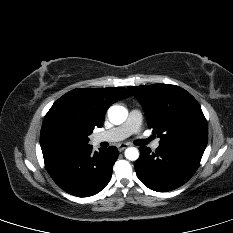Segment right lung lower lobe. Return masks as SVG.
I'll return each mask as SVG.
<instances>
[{
	"label": "right lung lower lobe",
	"instance_id": "1",
	"mask_svg": "<svg viewBox=\"0 0 233 233\" xmlns=\"http://www.w3.org/2000/svg\"><path fill=\"white\" fill-rule=\"evenodd\" d=\"M46 169L55 183L77 197L100 192L110 181L112 167L118 158L116 147L92 150L83 147L50 146L42 148Z\"/></svg>",
	"mask_w": 233,
	"mask_h": 233
}]
</instances>
